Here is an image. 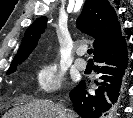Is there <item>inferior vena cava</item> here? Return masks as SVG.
<instances>
[{
  "label": "inferior vena cava",
  "instance_id": "obj_1",
  "mask_svg": "<svg viewBox=\"0 0 133 118\" xmlns=\"http://www.w3.org/2000/svg\"><path fill=\"white\" fill-rule=\"evenodd\" d=\"M57 107H58V117L59 118H65V110H64V108H63V106L62 105H57Z\"/></svg>",
  "mask_w": 133,
  "mask_h": 118
}]
</instances>
